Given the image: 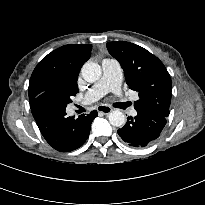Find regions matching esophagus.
<instances>
[{
    "mask_svg": "<svg viewBox=\"0 0 205 205\" xmlns=\"http://www.w3.org/2000/svg\"><path fill=\"white\" fill-rule=\"evenodd\" d=\"M97 111L104 114H109L112 111V108L107 105H100L97 107Z\"/></svg>",
    "mask_w": 205,
    "mask_h": 205,
    "instance_id": "34e87169",
    "label": "esophagus"
}]
</instances>
